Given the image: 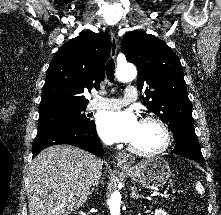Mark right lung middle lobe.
I'll list each match as a JSON object with an SVG mask.
<instances>
[{"label": "right lung middle lobe", "mask_w": 221, "mask_h": 215, "mask_svg": "<svg viewBox=\"0 0 221 215\" xmlns=\"http://www.w3.org/2000/svg\"><path fill=\"white\" fill-rule=\"evenodd\" d=\"M86 107L60 112V113H54L49 115H43L39 116L38 119V130L46 129L53 126H59V125H85L91 122L87 116L85 115Z\"/></svg>", "instance_id": "right-lung-middle-lobe-1"}]
</instances>
